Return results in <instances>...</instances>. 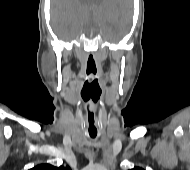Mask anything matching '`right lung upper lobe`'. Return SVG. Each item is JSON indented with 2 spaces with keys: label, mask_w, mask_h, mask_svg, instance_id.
Listing matches in <instances>:
<instances>
[{
  "label": "right lung upper lobe",
  "mask_w": 190,
  "mask_h": 170,
  "mask_svg": "<svg viewBox=\"0 0 190 170\" xmlns=\"http://www.w3.org/2000/svg\"><path fill=\"white\" fill-rule=\"evenodd\" d=\"M30 170H71L68 166L64 167V166H60V167H55L51 164H40L37 165L33 168H31Z\"/></svg>",
  "instance_id": "right-lung-upper-lobe-1"
}]
</instances>
